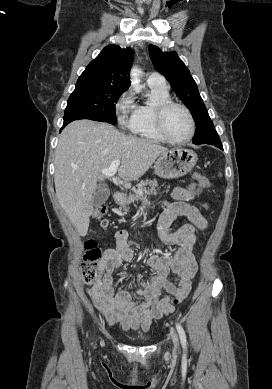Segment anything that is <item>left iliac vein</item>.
Masks as SVG:
<instances>
[{
	"label": "left iliac vein",
	"instance_id": "obj_1",
	"mask_svg": "<svg viewBox=\"0 0 272 389\" xmlns=\"http://www.w3.org/2000/svg\"><path fill=\"white\" fill-rule=\"evenodd\" d=\"M172 340H173V343H174V347H175V350L178 349L179 347V342H178V336L175 332H172Z\"/></svg>",
	"mask_w": 272,
	"mask_h": 389
}]
</instances>
